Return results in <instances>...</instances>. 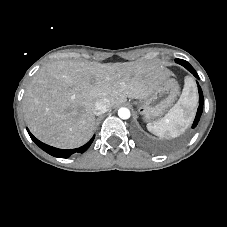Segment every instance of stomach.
Returning <instances> with one entry per match:
<instances>
[{"label":"stomach","mask_w":227,"mask_h":227,"mask_svg":"<svg viewBox=\"0 0 227 227\" xmlns=\"http://www.w3.org/2000/svg\"><path fill=\"white\" fill-rule=\"evenodd\" d=\"M178 94V82L172 78H167L149 97L139 103L138 112L146 121L154 120L173 105Z\"/></svg>","instance_id":"obj_1"}]
</instances>
